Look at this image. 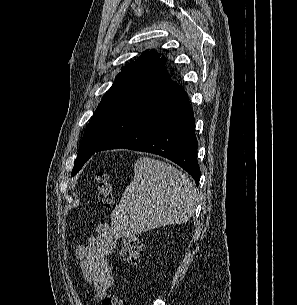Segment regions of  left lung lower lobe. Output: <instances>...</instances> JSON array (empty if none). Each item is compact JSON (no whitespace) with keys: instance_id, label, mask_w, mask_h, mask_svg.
<instances>
[{"instance_id":"1","label":"left lung lower lobe","mask_w":297,"mask_h":305,"mask_svg":"<svg viewBox=\"0 0 297 305\" xmlns=\"http://www.w3.org/2000/svg\"><path fill=\"white\" fill-rule=\"evenodd\" d=\"M194 115L187 93L172 80L145 88L118 118L95 152L125 148L163 156L199 185Z\"/></svg>"}]
</instances>
